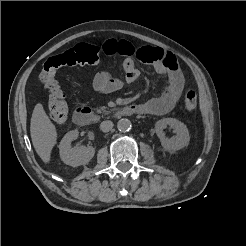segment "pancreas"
<instances>
[{"label":"pancreas","instance_id":"1","mask_svg":"<svg viewBox=\"0 0 246 246\" xmlns=\"http://www.w3.org/2000/svg\"><path fill=\"white\" fill-rule=\"evenodd\" d=\"M115 109H112L111 111H114ZM98 113H104V114H108L110 111H109V108L108 107H105V106H102L100 108H98L96 110Z\"/></svg>","mask_w":246,"mask_h":246}]
</instances>
